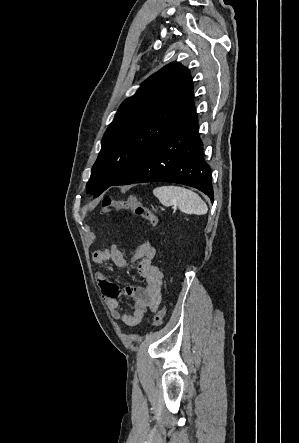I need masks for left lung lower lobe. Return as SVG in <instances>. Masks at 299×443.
Returning <instances> with one entry per match:
<instances>
[{
	"label": "left lung lower lobe",
	"instance_id": "0a47b994",
	"mask_svg": "<svg viewBox=\"0 0 299 443\" xmlns=\"http://www.w3.org/2000/svg\"><path fill=\"white\" fill-rule=\"evenodd\" d=\"M202 151L203 143L194 109L111 186L173 182L197 188L212 200V177Z\"/></svg>",
	"mask_w": 299,
	"mask_h": 443
}]
</instances>
